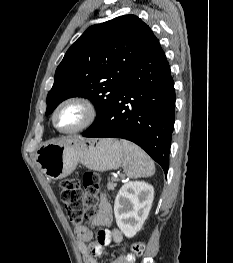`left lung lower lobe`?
Segmentation results:
<instances>
[{
	"label": "left lung lower lobe",
	"mask_w": 233,
	"mask_h": 263,
	"mask_svg": "<svg viewBox=\"0 0 233 263\" xmlns=\"http://www.w3.org/2000/svg\"><path fill=\"white\" fill-rule=\"evenodd\" d=\"M175 99L170 66L156 38L126 76L107 113L83 136L130 140L167 174Z\"/></svg>",
	"instance_id": "left-lung-lower-lobe-1"
}]
</instances>
